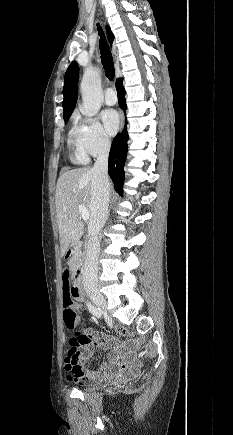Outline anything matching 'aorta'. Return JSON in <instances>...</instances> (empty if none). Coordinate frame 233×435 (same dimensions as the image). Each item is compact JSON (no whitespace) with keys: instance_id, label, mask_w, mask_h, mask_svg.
Masks as SVG:
<instances>
[{"instance_id":"obj_1","label":"aorta","mask_w":233,"mask_h":435,"mask_svg":"<svg viewBox=\"0 0 233 435\" xmlns=\"http://www.w3.org/2000/svg\"><path fill=\"white\" fill-rule=\"evenodd\" d=\"M80 89L82 94L80 112L88 117L95 116L99 112L103 101L100 71L87 68L84 71Z\"/></svg>"}]
</instances>
